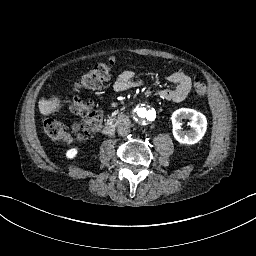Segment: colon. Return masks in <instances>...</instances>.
<instances>
[{
    "instance_id": "5ec220e1",
    "label": "colon",
    "mask_w": 256,
    "mask_h": 256,
    "mask_svg": "<svg viewBox=\"0 0 256 256\" xmlns=\"http://www.w3.org/2000/svg\"><path fill=\"white\" fill-rule=\"evenodd\" d=\"M111 72V61L97 63L81 77L76 85V89L91 90L99 88L103 83L109 80ZM178 72L182 71L179 70ZM192 80L195 95L204 97L207 93L206 83L198 75H194ZM70 111L80 117V120L71 126L52 118L50 115L43 117L44 131L51 140L63 143L82 140L101 126V115L94 109L93 104L89 101L82 99L73 101L70 105Z\"/></svg>"
}]
</instances>
